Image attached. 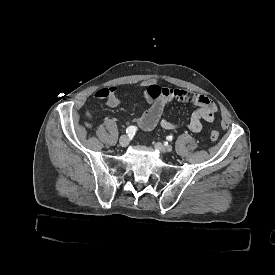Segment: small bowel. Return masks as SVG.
I'll use <instances>...</instances> for the list:
<instances>
[{"label": "small bowel", "mask_w": 275, "mask_h": 275, "mask_svg": "<svg viewBox=\"0 0 275 275\" xmlns=\"http://www.w3.org/2000/svg\"><path fill=\"white\" fill-rule=\"evenodd\" d=\"M154 83V80L146 81L141 83L139 87L146 88ZM107 91H109L108 94ZM95 98L106 99L107 105L111 108H115L121 103V97L114 93L112 89L98 90L95 94ZM173 100L183 103H193L198 106V110L192 114L189 121L185 124L186 128L191 132H200L204 122L210 123L215 119L217 107L209 98L187 90L165 89V94L152 102L151 113L149 116L143 117L141 129L150 131L154 129L158 123L166 130H174L181 127V123L169 119H161L165 106ZM139 120L140 116L136 119L137 125Z\"/></svg>", "instance_id": "1"}]
</instances>
